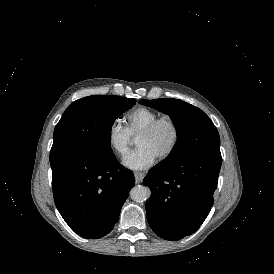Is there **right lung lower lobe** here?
<instances>
[{
    "instance_id": "obj_1",
    "label": "right lung lower lobe",
    "mask_w": 274,
    "mask_h": 274,
    "mask_svg": "<svg viewBox=\"0 0 274 274\" xmlns=\"http://www.w3.org/2000/svg\"><path fill=\"white\" fill-rule=\"evenodd\" d=\"M55 204L77 234L97 239L109 233L135 179L115 155L75 156L51 165Z\"/></svg>"
}]
</instances>
